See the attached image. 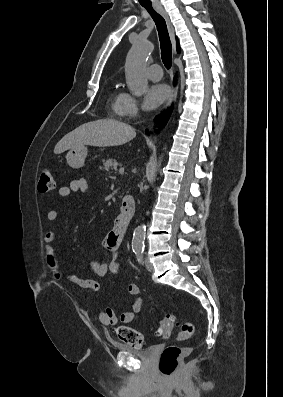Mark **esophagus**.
Returning <instances> with one entry per match:
<instances>
[{"mask_svg":"<svg viewBox=\"0 0 283 397\" xmlns=\"http://www.w3.org/2000/svg\"><path fill=\"white\" fill-rule=\"evenodd\" d=\"M154 7H155L156 11H157L159 14H161V15L163 16V18L165 19V21H166L167 28H168V31H169V35H170V38H171V41H172V44H173V49H174V52L176 53V39H175V33H174V28H173V25H172V23H171V21H170V18H169V16H168V14L166 13V11L163 9L162 6H160V5H154ZM176 94H177V86L174 87L172 96H171L170 99L168 100L167 105H166V108H168L169 106H171V104H172L173 101L175 100Z\"/></svg>","mask_w":283,"mask_h":397,"instance_id":"1","label":"esophagus"}]
</instances>
